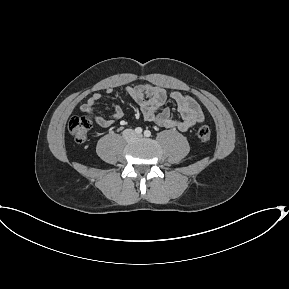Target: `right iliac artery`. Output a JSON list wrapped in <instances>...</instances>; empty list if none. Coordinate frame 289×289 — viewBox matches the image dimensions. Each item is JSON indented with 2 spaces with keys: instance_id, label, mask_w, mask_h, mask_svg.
Masks as SVG:
<instances>
[{
  "instance_id": "obj_1",
  "label": "right iliac artery",
  "mask_w": 289,
  "mask_h": 289,
  "mask_svg": "<svg viewBox=\"0 0 289 289\" xmlns=\"http://www.w3.org/2000/svg\"><path fill=\"white\" fill-rule=\"evenodd\" d=\"M135 133H136V134H141V133H142V128H141V127H137V128L135 129Z\"/></svg>"
}]
</instances>
